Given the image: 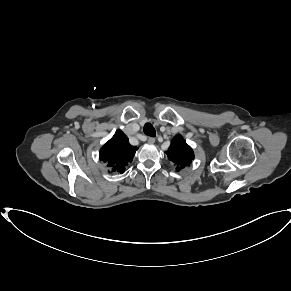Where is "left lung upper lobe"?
<instances>
[{
  "label": "left lung upper lobe",
  "mask_w": 291,
  "mask_h": 291,
  "mask_svg": "<svg viewBox=\"0 0 291 291\" xmlns=\"http://www.w3.org/2000/svg\"><path fill=\"white\" fill-rule=\"evenodd\" d=\"M166 154L169 160L177 165V171L188 166L192 159H194L192 148L184 141L181 135L173 138Z\"/></svg>",
  "instance_id": "obj_1"
}]
</instances>
